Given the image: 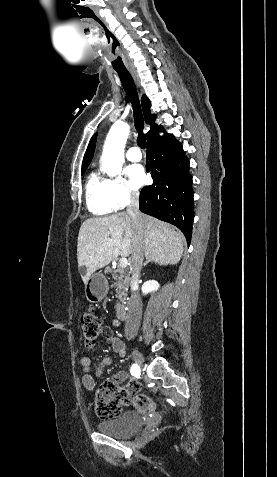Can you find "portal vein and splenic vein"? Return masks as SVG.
Instances as JSON below:
<instances>
[{
  "mask_svg": "<svg viewBox=\"0 0 277 477\" xmlns=\"http://www.w3.org/2000/svg\"><path fill=\"white\" fill-rule=\"evenodd\" d=\"M128 264L129 263H128V260H127L126 257L120 258V260H119L120 267L125 268V267H127Z\"/></svg>",
  "mask_w": 277,
  "mask_h": 477,
  "instance_id": "obj_1",
  "label": "portal vein and splenic vein"
}]
</instances>
